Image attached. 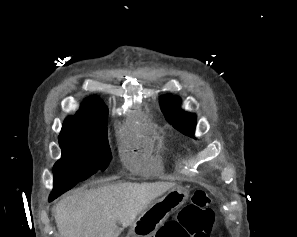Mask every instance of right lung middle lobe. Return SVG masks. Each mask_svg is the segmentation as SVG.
<instances>
[{"instance_id": "dd1d6c3e", "label": "right lung middle lobe", "mask_w": 297, "mask_h": 237, "mask_svg": "<svg viewBox=\"0 0 297 237\" xmlns=\"http://www.w3.org/2000/svg\"><path fill=\"white\" fill-rule=\"evenodd\" d=\"M59 144L62 157L53 168L54 189L49 196L50 200L97 170H105L111 160L107 127L95 130L62 129Z\"/></svg>"}]
</instances>
